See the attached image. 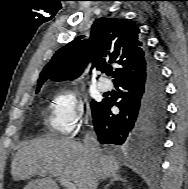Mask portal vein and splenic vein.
<instances>
[{
	"label": "portal vein and splenic vein",
	"mask_w": 188,
	"mask_h": 189,
	"mask_svg": "<svg viewBox=\"0 0 188 189\" xmlns=\"http://www.w3.org/2000/svg\"><path fill=\"white\" fill-rule=\"evenodd\" d=\"M44 174V172L42 173ZM59 182L61 185H63L66 189H77L76 185L73 184L72 182L66 181L64 179L59 178Z\"/></svg>",
	"instance_id": "portal-vein-and-splenic-vein-1"
}]
</instances>
